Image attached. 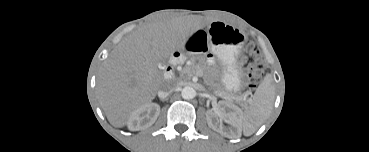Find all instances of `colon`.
I'll use <instances>...</instances> for the list:
<instances>
[{
    "mask_svg": "<svg viewBox=\"0 0 369 152\" xmlns=\"http://www.w3.org/2000/svg\"><path fill=\"white\" fill-rule=\"evenodd\" d=\"M241 62L250 87H254L261 80L264 73V64L260 51L250 47L248 54L242 56Z\"/></svg>",
    "mask_w": 369,
    "mask_h": 152,
    "instance_id": "1",
    "label": "colon"
}]
</instances>
